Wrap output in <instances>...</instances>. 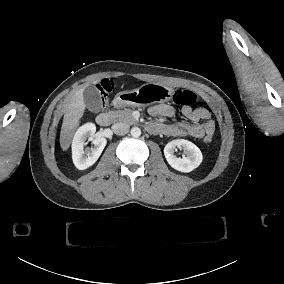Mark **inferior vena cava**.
<instances>
[{"instance_id":"obj_1","label":"inferior vena cava","mask_w":284,"mask_h":284,"mask_svg":"<svg viewBox=\"0 0 284 284\" xmlns=\"http://www.w3.org/2000/svg\"><path fill=\"white\" fill-rule=\"evenodd\" d=\"M111 129L115 134L124 135L129 131L130 126L124 122H117L112 125Z\"/></svg>"}]
</instances>
